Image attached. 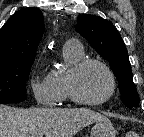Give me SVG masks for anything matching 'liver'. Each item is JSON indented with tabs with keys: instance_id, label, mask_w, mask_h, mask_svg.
I'll use <instances>...</instances> for the list:
<instances>
[{
	"instance_id": "6515ba94",
	"label": "liver",
	"mask_w": 144,
	"mask_h": 137,
	"mask_svg": "<svg viewBox=\"0 0 144 137\" xmlns=\"http://www.w3.org/2000/svg\"><path fill=\"white\" fill-rule=\"evenodd\" d=\"M105 119L85 108L19 109L0 105V137H74L81 129Z\"/></svg>"
}]
</instances>
